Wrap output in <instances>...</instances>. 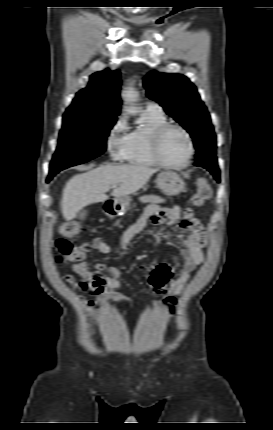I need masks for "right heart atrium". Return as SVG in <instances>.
<instances>
[{
  "mask_svg": "<svg viewBox=\"0 0 273 430\" xmlns=\"http://www.w3.org/2000/svg\"><path fill=\"white\" fill-rule=\"evenodd\" d=\"M106 145L110 156L114 160H125L129 146V136L126 133V122L123 117L116 120L110 128Z\"/></svg>",
  "mask_w": 273,
  "mask_h": 430,
  "instance_id": "right-heart-atrium-1",
  "label": "right heart atrium"
}]
</instances>
